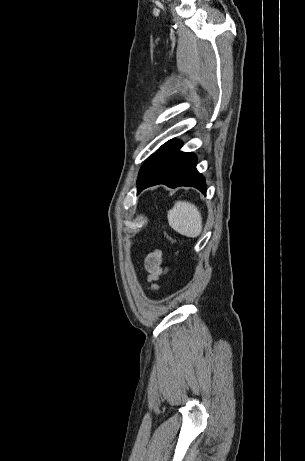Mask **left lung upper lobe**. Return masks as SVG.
Segmentation results:
<instances>
[{
	"label": "left lung upper lobe",
	"instance_id": "left-lung-upper-lobe-1",
	"mask_svg": "<svg viewBox=\"0 0 305 461\" xmlns=\"http://www.w3.org/2000/svg\"><path fill=\"white\" fill-rule=\"evenodd\" d=\"M152 166V157H150L149 159L146 160V162L143 164V166L141 167L140 169V172H139V177H138V181L143 178L147 173L148 171L150 170Z\"/></svg>",
	"mask_w": 305,
	"mask_h": 461
}]
</instances>
